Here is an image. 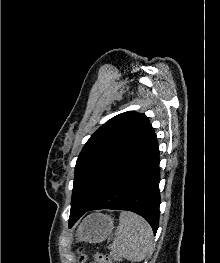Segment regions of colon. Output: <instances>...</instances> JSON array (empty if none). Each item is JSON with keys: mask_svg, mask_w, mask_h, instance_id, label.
Segmentation results:
<instances>
[{"mask_svg": "<svg viewBox=\"0 0 220 263\" xmlns=\"http://www.w3.org/2000/svg\"><path fill=\"white\" fill-rule=\"evenodd\" d=\"M86 259V253L83 250L79 251V261L83 262ZM94 263H116L110 257L96 253L93 255Z\"/></svg>", "mask_w": 220, "mask_h": 263, "instance_id": "1", "label": "colon"}]
</instances>
